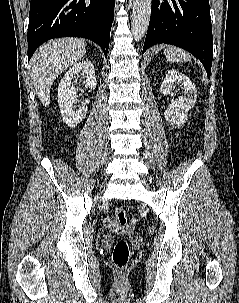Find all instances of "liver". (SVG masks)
Here are the masks:
<instances>
[{"label":"liver","mask_w":239,"mask_h":303,"mask_svg":"<svg viewBox=\"0 0 239 303\" xmlns=\"http://www.w3.org/2000/svg\"><path fill=\"white\" fill-rule=\"evenodd\" d=\"M85 53V41L77 38L54 39L35 52L30 61V74L43 106L50 104V88L54 80Z\"/></svg>","instance_id":"1"}]
</instances>
